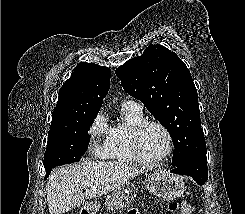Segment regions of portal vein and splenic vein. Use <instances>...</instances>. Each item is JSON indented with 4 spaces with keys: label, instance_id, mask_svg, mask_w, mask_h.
Segmentation results:
<instances>
[{
    "label": "portal vein and splenic vein",
    "instance_id": "obj_1",
    "mask_svg": "<svg viewBox=\"0 0 245 214\" xmlns=\"http://www.w3.org/2000/svg\"><path fill=\"white\" fill-rule=\"evenodd\" d=\"M88 186H91L89 183H84L83 184V187H88Z\"/></svg>",
    "mask_w": 245,
    "mask_h": 214
}]
</instances>
